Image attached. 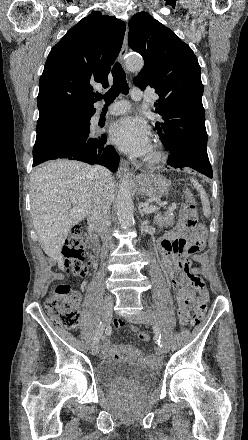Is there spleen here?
Instances as JSON below:
<instances>
[{
	"instance_id": "1",
	"label": "spleen",
	"mask_w": 248,
	"mask_h": 440,
	"mask_svg": "<svg viewBox=\"0 0 248 440\" xmlns=\"http://www.w3.org/2000/svg\"><path fill=\"white\" fill-rule=\"evenodd\" d=\"M191 182L193 183L197 191L200 193L203 214L205 217L209 218L211 215V210H210V203L208 196L204 188L198 183V181H196L195 179H191Z\"/></svg>"
}]
</instances>
